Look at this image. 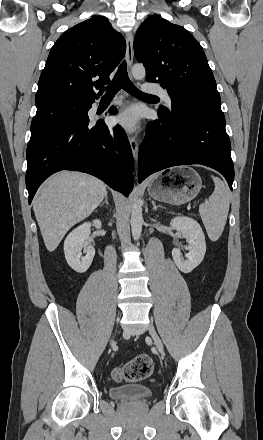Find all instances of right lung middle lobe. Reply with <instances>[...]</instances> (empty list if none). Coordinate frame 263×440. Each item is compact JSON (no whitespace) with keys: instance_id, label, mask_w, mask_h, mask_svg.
<instances>
[{"instance_id":"obj_1","label":"right lung middle lobe","mask_w":263,"mask_h":440,"mask_svg":"<svg viewBox=\"0 0 263 440\" xmlns=\"http://www.w3.org/2000/svg\"><path fill=\"white\" fill-rule=\"evenodd\" d=\"M87 105L83 102H59L37 108L31 123V138H36L52 128L87 118Z\"/></svg>"}]
</instances>
